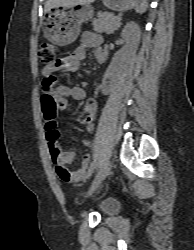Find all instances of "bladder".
I'll use <instances>...</instances> for the list:
<instances>
[{
  "label": "bladder",
  "instance_id": "1",
  "mask_svg": "<svg viewBox=\"0 0 194 250\" xmlns=\"http://www.w3.org/2000/svg\"><path fill=\"white\" fill-rule=\"evenodd\" d=\"M117 208H118V204L115 199L106 198L98 204L97 211L101 215H110V214L115 213Z\"/></svg>",
  "mask_w": 194,
  "mask_h": 250
}]
</instances>
